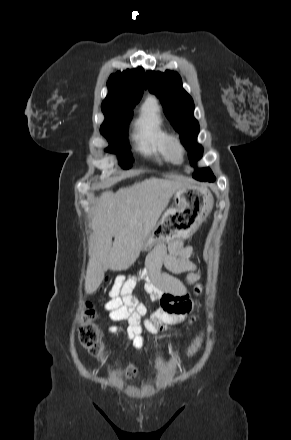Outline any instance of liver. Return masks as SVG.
<instances>
[{"label":"liver","mask_w":291,"mask_h":440,"mask_svg":"<svg viewBox=\"0 0 291 440\" xmlns=\"http://www.w3.org/2000/svg\"><path fill=\"white\" fill-rule=\"evenodd\" d=\"M182 186L178 181L150 178L116 193H102L90 224L87 291L98 288L108 269L125 270L136 261L170 198Z\"/></svg>","instance_id":"obj_1"}]
</instances>
